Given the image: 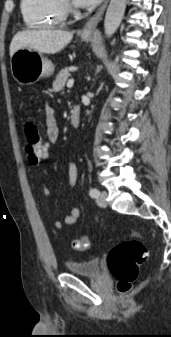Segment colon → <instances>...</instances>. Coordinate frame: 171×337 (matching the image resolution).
<instances>
[{"label": "colon", "mask_w": 171, "mask_h": 337, "mask_svg": "<svg viewBox=\"0 0 171 337\" xmlns=\"http://www.w3.org/2000/svg\"><path fill=\"white\" fill-rule=\"evenodd\" d=\"M25 135L27 159L31 164H38L47 156L49 145L46 140L40 138L34 122L26 124ZM89 246L90 239L87 235L72 241V247L77 251L87 250ZM147 256V248L136 238L123 241L112 248L108 255V268L117 280L120 292H127L131 289L138 278V267Z\"/></svg>", "instance_id": "colon-1"}]
</instances>
